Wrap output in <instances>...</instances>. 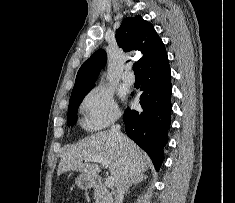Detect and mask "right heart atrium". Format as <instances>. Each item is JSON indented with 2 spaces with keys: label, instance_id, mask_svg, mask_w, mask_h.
<instances>
[{
  "label": "right heart atrium",
  "instance_id": "obj_1",
  "mask_svg": "<svg viewBox=\"0 0 235 203\" xmlns=\"http://www.w3.org/2000/svg\"><path fill=\"white\" fill-rule=\"evenodd\" d=\"M85 126L90 130L103 129L121 115L113 93L104 85L92 88L81 103Z\"/></svg>",
  "mask_w": 235,
  "mask_h": 203
}]
</instances>
